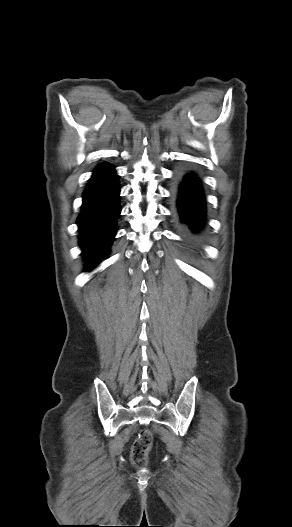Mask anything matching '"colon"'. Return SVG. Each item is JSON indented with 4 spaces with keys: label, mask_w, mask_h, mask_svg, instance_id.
Masks as SVG:
<instances>
[{
    "label": "colon",
    "mask_w": 292,
    "mask_h": 527,
    "mask_svg": "<svg viewBox=\"0 0 292 527\" xmlns=\"http://www.w3.org/2000/svg\"><path fill=\"white\" fill-rule=\"evenodd\" d=\"M153 441L152 432L144 429L140 432L132 447V461L136 466H144L147 462V455L151 449Z\"/></svg>",
    "instance_id": "obj_1"
}]
</instances>
